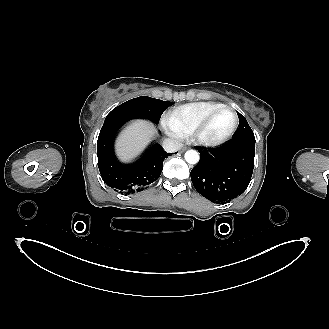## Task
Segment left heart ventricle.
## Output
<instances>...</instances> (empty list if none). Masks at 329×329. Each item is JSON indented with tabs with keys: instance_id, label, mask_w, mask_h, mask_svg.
Here are the masks:
<instances>
[{
	"instance_id": "1",
	"label": "left heart ventricle",
	"mask_w": 329,
	"mask_h": 329,
	"mask_svg": "<svg viewBox=\"0 0 329 329\" xmlns=\"http://www.w3.org/2000/svg\"><path fill=\"white\" fill-rule=\"evenodd\" d=\"M234 124V115L230 110H223L216 114L203 131L206 139H219L226 136Z\"/></svg>"
}]
</instances>
